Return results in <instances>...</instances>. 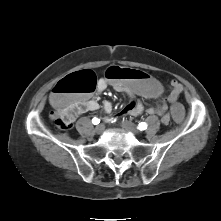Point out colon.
<instances>
[{
    "mask_svg": "<svg viewBox=\"0 0 221 221\" xmlns=\"http://www.w3.org/2000/svg\"><path fill=\"white\" fill-rule=\"evenodd\" d=\"M105 79L110 84H124L136 94L150 100L159 99L166 93L161 79L148 72L112 66ZM96 87V75L90 70L73 73L59 81L52 90L50 101L54 107L52 119L58 130L68 129L79 109L77 100L80 96L92 92ZM170 121L174 125H181L185 121L186 108L182 102L176 101L169 108Z\"/></svg>",
    "mask_w": 221,
    "mask_h": 221,
    "instance_id": "5ec220e1",
    "label": "colon"
}]
</instances>
